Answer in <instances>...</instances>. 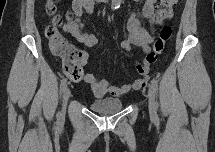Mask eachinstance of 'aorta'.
Here are the masks:
<instances>
[{"label": "aorta", "mask_w": 215, "mask_h": 152, "mask_svg": "<svg viewBox=\"0 0 215 152\" xmlns=\"http://www.w3.org/2000/svg\"><path fill=\"white\" fill-rule=\"evenodd\" d=\"M121 0H112V7L118 8L120 6Z\"/></svg>", "instance_id": "1"}]
</instances>
